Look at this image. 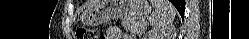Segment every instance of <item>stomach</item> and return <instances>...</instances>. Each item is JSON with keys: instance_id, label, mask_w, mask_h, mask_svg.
<instances>
[{"instance_id": "stomach-1", "label": "stomach", "mask_w": 249, "mask_h": 39, "mask_svg": "<svg viewBox=\"0 0 249 39\" xmlns=\"http://www.w3.org/2000/svg\"><path fill=\"white\" fill-rule=\"evenodd\" d=\"M150 13L146 0H96L81 16L88 26H98L113 19L142 21Z\"/></svg>"}]
</instances>
